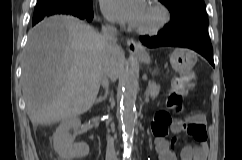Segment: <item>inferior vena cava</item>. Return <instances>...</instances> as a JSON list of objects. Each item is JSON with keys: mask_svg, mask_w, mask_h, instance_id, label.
<instances>
[{"mask_svg": "<svg viewBox=\"0 0 242 160\" xmlns=\"http://www.w3.org/2000/svg\"><path fill=\"white\" fill-rule=\"evenodd\" d=\"M102 38L108 50V58L104 63V68L100 69V83L108 89L109 81H116L117 73H120V63H122V50L117 49V29L113 25H105L102 27ZM106 160H117L114 140L108 138L106 149Z\"/></svg>", "mask_w": 242, "mask_h": 160, "instance_id": "602c4592", "label": "inferior vena cava"}]
</instances>
